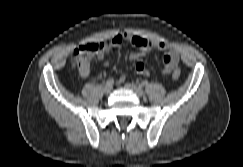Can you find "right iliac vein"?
<instances>
[{"mask_svg": "<svg viewBox=\"0 0 243 167\" xmlns=\"http://www.w3.org/2000/svg\"><path fill=\"white\" fill-rule=\"evenodd\" d=\"M111 90H112V85L105 84V85L103 86V91H104V93L108 94V93L111 92Z\"/></svg>", "mask_w": 243, "mask_h": 167, "instance_id": "obj_1", "label": "right iliac vein"}]
</instances>
